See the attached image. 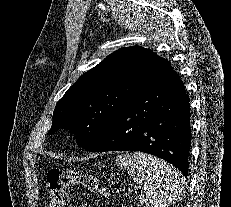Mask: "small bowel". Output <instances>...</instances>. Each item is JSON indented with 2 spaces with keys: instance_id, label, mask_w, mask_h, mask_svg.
Masks as SVG:
<instances>
[{
  "instance_id": "small-bowel-1",
  "label": "small bowel",
  "mask_w": 231,
  "mask_h": 207,
  "mask_svg": "<svg viewBox=\"0 0 231 207\" xmlns=\"http://www.w3.org/2000/svg\"><path fill=\"white\" fill-rule=\"evenodd\" d=\"M81 207H90V206H81Z\"/></svg>"
}]
</instances>
